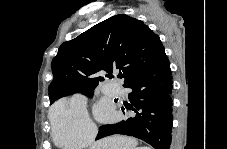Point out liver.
<instances>
[{
    "label": "liver",
    "instance_id": "obj_1",
    "mask_svg": "<svg viewBox=\"0 0 227 149\" xmlns=\"http://www.w3.org/2000/svg\"><path fill=\"white\" fill-rule=\"evenodd\" d=\"M138 141L132 137L114 135L101 139L90 146V149H135Z\"/></svg>",
    "mask_w": 227,
    "mask_h": 149
}]
</instances>
